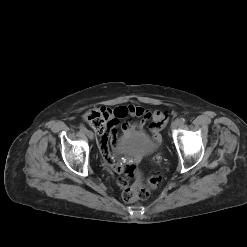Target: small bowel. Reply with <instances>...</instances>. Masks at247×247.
Returning <instances> with one entry per match:
<instances>
[{"mask_svg":"<svg viewBox=\"0 0 247 247\" xmlns=\"http://www.w3.org/2000/svg\"><path fill=\"white\" fill-rule=\"evenodd\" d=\"M108 118L107 133H103L100 149L101 153L107 162L116 172H124L125 164L116 163L108 151V142L110 141L115 149H117L118 140L116 138V132L120 120L125 119L128 116L138 117L140 120L136 123H124L122 130L124 133H128L132 130H141L145 124L149 123V130L153 135L156 142H160V130L166 125L168 121V114L159 109H145L137 105L119 106L114 109H103ZM118 185L121 187L126 186V182L123 179L118 180Z\"/></svg>","mask_w":247,"mask_h":247,"instance_id":"1","label":"small bowel"}]
</instances>
